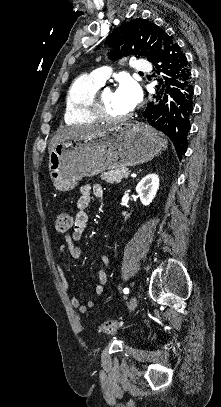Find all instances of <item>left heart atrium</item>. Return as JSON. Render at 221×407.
<instances>
[{
  "label": "left heart atrium",
  "mask_w": 221,
  "mask_h": 407,
  "mask_svg": "<svg viewBox=\"0 0 221 407\" xmlns=\"http://www.w3.org/2000/svg\"><path fill=\"white\" fill-rule=\"evenodd\" d=\"M116 93L129 110L134 109L142 99L138 84L129 77L120 79Z\"/></svg>",
  "instance_id": "left-heart-atrium-1"
}]
</instances>
